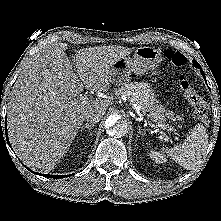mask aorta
I'll list each match as a JSON object with an SVG mask.
<instances>
[{
  "instance_id": "obj_1",
  "label": "aorta",
  "mask_w": 221,
  "mask_h": 221,
  "mask_svg": "<svg viewBox=\"0 0 221 221\" xmlns=\"http://www.w3.org/2000/svg\"><path fill=\"white\" fill-rule=\"evenodd\" d=\"M105 128L109 136L119 138L127 134L128 124L119 115H110L105 121Z\"/></svg>"
}]
</instances>
